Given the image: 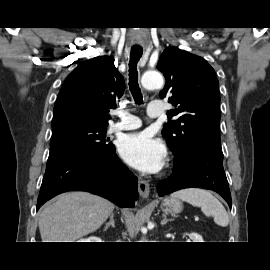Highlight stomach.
Masks as SVG:
<instances>
[{
    "label": "stomach",
    "mask_w": 270,
    "mask_h": 270,
    "mask_svg": "<svg viewBox=\"0 0 270 270\" xmlns=\"http://www.w3.org/2000/svg\"><path fill=\"white\" fill-rule=\"evenodd\" d=\"M161 208L166 214L170 213L171 215H175L182 211L183 205L178 199L171 197L164 199Z\"/></svg>",
    "instance_id": "0dacf381"
}]
</instances>
